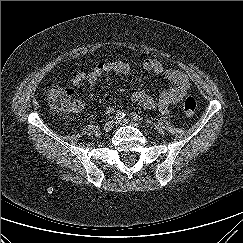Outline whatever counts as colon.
I'll return each mask as SVG.
<instances>
[{
  "mask_svg": "<svg viewBox=\"0 0 243 243\" xmlns=\"http://www.w3.org/2000/svg\"><path fill=\"white\" fill-rule=\"evenodd\" d=\"M48 102L52 111L58 116H64L70 113L75 105V99L73 93L64 89L57 84L50 83L45 87ZM197 108L196 99L192 96H187L182 102V109L185 114L192 115L195 113Z\"/></svg>",
  "mask_w": 243,
  "mask_h": 243,
  "instance_id": "obj_1",
  "label": "colon"
}]
</instances>
